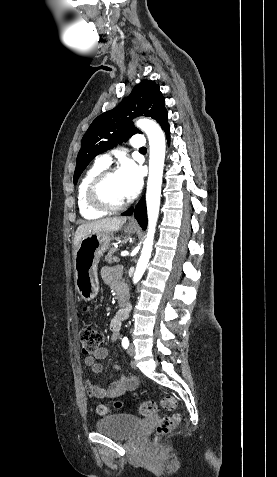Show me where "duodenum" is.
I'll return each instance as SVG.
<instances>
[{
    "instance_id": "obj_1",
    "label": "duodenum",
    "mask_w": 277,
    "mask_h": 477,
    "mask_svg": "<svg viewBox=\"0 0 277 477\" xmlns=\"http://www.w3.org/2000/svg\"><path fill=\"white\" fill-rule=\"evenodd\" d=\"M118 304L122 308L123 312L127 314L130 310V302L127 294L123 291L118 293Z\"/></svg>"
}]
</instances>
